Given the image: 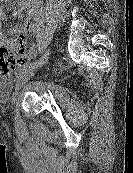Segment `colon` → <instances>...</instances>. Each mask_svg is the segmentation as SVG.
Masks as SVG:
<instances>
[{
	"mask_svg": "<svg viewBox=\"0 0 133 173\" xmlns=\"http://www.w3.org/2000/svg\"><path fill=\"white\" fill-rule=\"evenodd\" d=\"M28 62L23 40L20 36L14 37L8 45L0 48V74L7 73L17 66Z\"/></svg>",
	"mask_w": 133,
	"mask_h": 173,
	"instance_id": "5ec220e1",
	"label": "colon"
}]
</instances>
